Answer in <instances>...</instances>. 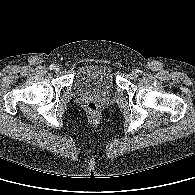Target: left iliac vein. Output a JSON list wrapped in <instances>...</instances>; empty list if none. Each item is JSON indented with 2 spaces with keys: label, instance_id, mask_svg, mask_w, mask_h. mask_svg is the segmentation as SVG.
Here are the masks:
<instances>
[{
  "label": "left iliac vein",
  "instance_id": "4c4485c4",
  "mask_svg": "<svg viewBox=\"0 0 195 195\" xmlns=\"http://www.w3.org/2000/svg\"><path fill=\"white\" fill-rule=\"evenodd\" d=\"M130 75H131L132 77H136V76H137V72H136V71H132V72L130 73Z\"/></svg>",
  "mask_w": 195,
  "mask_h": 195
}]
</instances>
